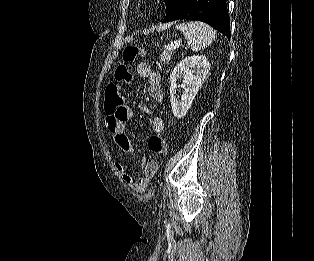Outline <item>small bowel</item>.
Here are the masks:
<instances>
[{
    "label": "small bowel",
    "mask_w": 314,
    "mask_h": 261,
    "mask_svg": "<svg viewBox=\"0 0 314 261\" xmlns=\"http://www.w3.org/2000/svg\"><path fill=\"white\" fill-rule=\"evenodd\" d=\"M137 74L148 80L149 97L160 102L163 99V89L161 84L160 73L154 71L148 63H140L137 66ZM148 112V109H145ZM105 124L108 131L113 136L114 142L119 150L133 155L137 154V149L132 143L130 137L126 133V124L132 118L131 109L127 105H122L114 111L106 110ZM151 129L153 133H161L164 129V121L160 117H153L151 121ZM142 174L140 176L132 175L121 163L115 164V169L129 186V188L137 193L142 194L146 191L149 183L155 177L158 164L156 161L141 158Z\"/></svg>",
    "instance_id": "small-bowel-1"
}]
</instances>
